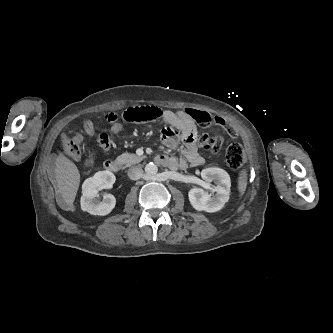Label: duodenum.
<instances>
[{
	"instance_id": "obj_1",
	"label": "duodenum",
	"mask_w": 333,
	"mask_h": 333,
	"mask_svg": "<svg viewBox=\"0 0 333 333\" xmlns=\"http://www.w3.org/2000/svg\"><path fill=\"white\" fill-rule=\"evenodd\" d=\"M104 167L106 170L115 173V172L119 171L120 164L116 160L109 159L104 162Z\"/></svg>"
}]
</instances>
